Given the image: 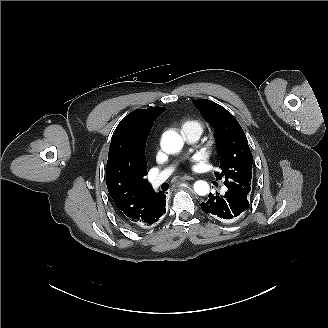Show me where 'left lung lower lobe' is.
<instances>
[{
  "label": "left lung lower lobe",
  "instance_id": "1",
  "mask_svg": "<svg viewBox=\"0 0 328 328\" xmlns=\"http://www.w3.org/2000/svg\"><path fill=\"white\" fill-rule=\"evenodd\" d=\"M249 207L246 197L231 190L224 196L209 194V200L201 204L202 210L208 215L224 222L231 221L241 215Z\"/></svg>",
  "mask_w": 328,
  "mask_h": 328
}]
</instances>
